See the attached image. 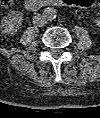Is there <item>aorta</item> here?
I'll use <instances>...</instances> for the list:
<instances>
[{
	"instance_id": "1",
	"label": "aorta",
	"mask_w": 100,
	"mask_h": 118,
	"mask_svg": "<svg viewBox=\"0 0 100 118\" xmlns=\"http://www.w3.org/2000/svg\"><path fill=\"white\" fill-rule=\"evenodd\" d=\"M42 15L45 17L46 21H53L57 17V11L52 7H46Z\"/></svg>"
}]
</instances>
